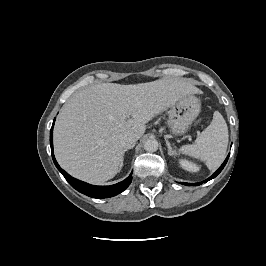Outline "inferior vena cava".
Wrapping results in <instances>:
<instances>
[{
  "label": "inferior vena cava",
  "mask_w": 266,
  "mask_h": 266,
  "mask_svg": "<svg viewBox=\"0 0 266 266\" xmlns=\"http://www.w3.org/2000/svg\"><path fill=\"white\" fill-rule=\"evenodd\" d=\"M137 140L138 139L135 135L126 134L122 137L121 145L125 150L131 149L135 146Z\"/></svg>",
  "instance_id": "1"
}]
</instances>
